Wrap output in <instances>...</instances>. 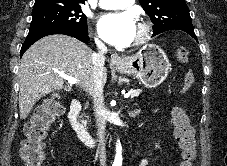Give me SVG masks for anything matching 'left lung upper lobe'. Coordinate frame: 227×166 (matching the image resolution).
<instances>
[{
    "instance_id": "obj_1",
    "label": "left lung upper lobe",
    "mask_w": 227,
    "mask_h": 166,
    "mask_svg": "<svg viewBox=\"0 0 227 166\" xmlns=\"http://www.w3.org/2000/svg\"><path fill=\"white\" fill-rule=\"evenodd\" d=\"M149 15L153 36L169 30H194L189 9L184 0H139Z\"/></svg>"
}]
</instances>
